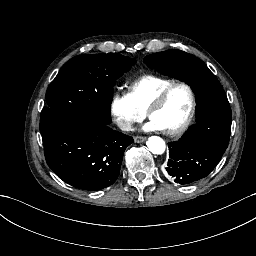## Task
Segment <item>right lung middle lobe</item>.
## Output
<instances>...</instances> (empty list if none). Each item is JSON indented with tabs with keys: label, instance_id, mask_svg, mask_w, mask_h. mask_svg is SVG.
Returning a JSON list of instances; mask_svg holds the SVG:
<instances>
[{
	"label": "right lung middle lobe",
	"instance_id": "right-lung-middle-lobe-1",
	"mask_svg": "<svg viewBox=\"0 0 256 256\" xmlns=\"http://www.w3.org/2000/svg\"><path fill=\"white\" fill-rule=\"evenodd\" d=\"M135 61L118 53L79 55L67 61L47 89L41 134L57 126L78 131L84 123L110 124L112 87Z\"/></svg>",
	"mask_w": 256,
	"mask_h": 256
}]
</instances>
